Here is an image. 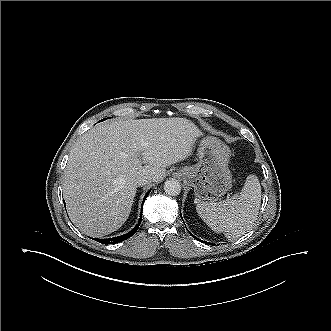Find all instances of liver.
Segmentation results:
<instances>
[{
  "label": "liver",
  "instance_id": "liver-1",
  "mask_svg": "<svg viewBox=\"0 0 331 331\" xmlns=\"http://www.w3.org/2000/svg\"><path fill=\"white\" fill-rule=\"evenodd\" d=\"M198 136L196 125L184 118L114 120L83 134L64 172L71 221L92 237L118 230L130 215L137 177L159 181L166 167L191 155Z\"/></svg>",
  "mask_w": 331,
  "mask_h": 331
}]
</instances>
